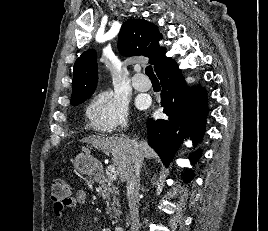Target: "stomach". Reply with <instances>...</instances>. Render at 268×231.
Here are the masks:
<instances>
[{"mask_svg":"<svg viewBox=\"0 0 268 231\" xmlns=\"http://www.w3.org/2000/svg\"><path fill=\"white\" fill-rule=\"evenodd\" d=\"M73 164L80 173L87 175H93L100 167L99 161L91 156L89 152H81L78 154Z\"/></svg>","mask_w":268,"mask_h":231,"instance_id":"0dacf381","label":"stomach"}]
</instances>
